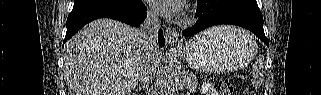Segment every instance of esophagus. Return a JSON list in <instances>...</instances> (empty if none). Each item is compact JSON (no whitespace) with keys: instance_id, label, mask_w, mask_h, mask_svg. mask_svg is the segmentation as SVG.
Listing matches in <instances>:
<instances>
[{"instance_id":"34e87169","label":"esophagus","mask_w":321,"mask_h":95,"mask_svg":"<svg viewBox=\"0 0 321 95\" xmlns=\"http://www.w3.org/2000/svg\"><path fill=\"white\" fill-rule=\"evenodd\" d=\"M165 39L169 45H175L178 41V34L174 28H166Z\"/></svg>"}]
</instances>
